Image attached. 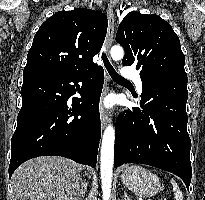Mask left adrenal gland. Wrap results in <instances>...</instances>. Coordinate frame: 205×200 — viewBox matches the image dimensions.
<instances>
[{"instance_id":"1","label":"left adrenal gland","mask_w":205,"mask_h":200,"mask_svg":"<svg viewBox=\"0 0 205 200\" xmlns=\"http://www.w3.org/2000/svg\"><path fill=\"white\" fill-rule=\"evenodd\" d=\"M124 200H131V198L128 196L126 190L124 191Z\"/></svg>"}]
</instances>
